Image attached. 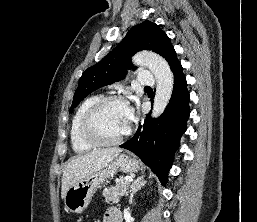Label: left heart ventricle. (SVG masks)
<instances>
[{"instance_id":"1","label":"left heart ventricle","mask_w":257,"mask_h":222,"mask_svg":"<svg viewBox=\"0 0 257 222\" xmlns=\"http://www.w3.org/2000/svg\"><path fill=\"white\" fill-rule=\"evenodd\" d=\"M126 111L127 107L122 104L107 105L95 120V127L99 135L104 139L113 140L124 134L130 125Z\"/></svg>"}]
</instances>
